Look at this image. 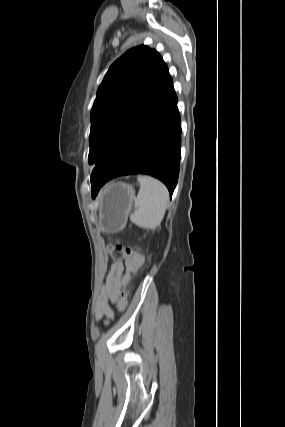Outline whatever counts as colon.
Listing matches in <instances>:
<instances>
[{
    "label": "colon",
    "mask_w": 285,
    "mask_h": 427,
    "mask_svg": "<svg viewBox=\"0 0 285 427\" xmlns=\"http://www.w3.org/2000/svg\"><path fill=\"white\" fill-rule=\"evenodd\" d=\"M108 255L113 260H129L136 256L138 253L136 250L132 249L129 246H124L121 244H110L107 247ZM136 272L134 271V274ZM128 293H129V287H125L119 292V299H118V310L124 311L127 302H128Z\"/></svg>",
    "instance_id": "obj_1"
}]
</instances>
